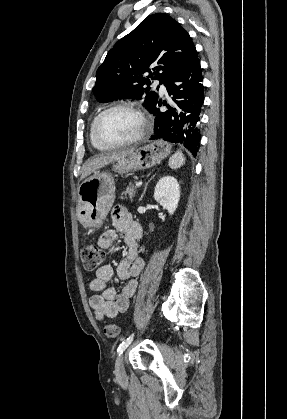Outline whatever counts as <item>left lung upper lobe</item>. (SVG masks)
I'll list each match as a JSON object with an SVG mask.
<instances>
[{"label": "left lung upper lobe", "mask_w": 287, "mask_h": 419, "mask_svg": "<svg viewBox=\"0 0 287 419\" xmlns=\"http://www.w3.org/2000/svg\"><path fill=\"white\" fill-rule=\"evenodd\" d=\"M197 58L189 34L164 13L149 15L111 49L96 72L93 93L100 102L118 98L144 99L150 111L158 94L143 86L160 84L182 72ZM149 72L144 78L143 73Z\"/></svg>", "instance_id": "obj_1"}]
</instances>
